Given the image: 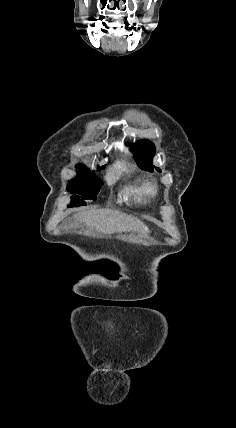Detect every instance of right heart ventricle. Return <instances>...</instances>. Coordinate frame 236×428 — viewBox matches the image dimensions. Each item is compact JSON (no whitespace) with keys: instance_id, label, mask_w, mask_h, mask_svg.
<instances>
[{"instance_id":"e07e8e85","label":"right heart ventricle","mask_w":236,"mask_h":428,"mask_svg":"<svg viewBox=\"0 0 236 428\" xmlns=\"http://www.w3.org/2000/svg\"><path fill=\"white\" fill-rule=\"evenodd\" d=\"M125 192L134 196H148L155 192V186L149 182L132 184L125 189Z\"/></svg>"}]
</instances>
